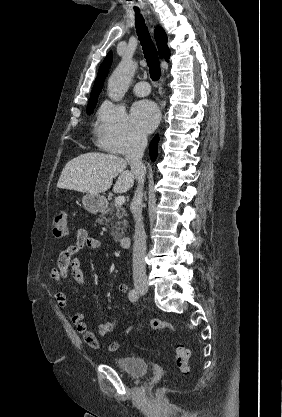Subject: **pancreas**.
Instances as JSON below:
<instances>
[{
	"label": "pancreas",
	"instance_id": "pancreas-1",
	"mask_svg": "<svg viewBox=\"0 0 282 417\" xmlns=\"http://www.w3.org/2000/svg\"><path fill=\"white\" fill-rule=\"evenodd\" d=\"M106 215H109V217H106ZM125 217H127V213L124 206H122V204H115V202H111L110 209H107L105 213H102V215H100V219H98L101 225H107V229H109L108 223H110L111 235L115 243H118L124 235L125 225H127Z\"/></svg>",
	"mask_w": 282,
	"mask_h": 417
}]
</instances>
